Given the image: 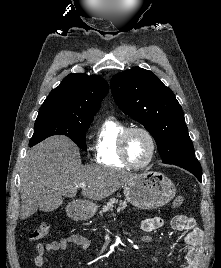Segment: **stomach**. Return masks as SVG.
Segmentation results:
<instances>
[{
  "label": "stomach",
  "instance_id": "obj_1",
  "mask_svg": "<svg viewBox=\"0 0 221 268\" xmlns=\"http://www.w3.org/2000/svg\"><path fill=\"white\" fill-rule=\"evenodd\" d=\"M126 200L142 209H155L169 203L176 194L173 182L164 174L145 171L134 175L123 185ZM97 205L92 201H78L67 210L71 218L87 220L95 215Z\"/></svg>",
  "mask_w": 221,
  "mask_h": 268
}]
</instances>
